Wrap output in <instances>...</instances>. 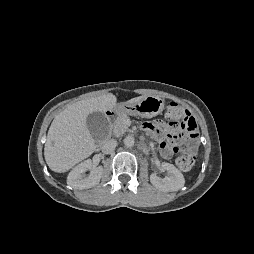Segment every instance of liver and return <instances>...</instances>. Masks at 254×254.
Returning <instances> with one entry per match:
<instances>
[{
	"instance_id": "obj_1",
	"label": "liver",
	"mask_w": 254,
	"mask_h": 254,
	"mask_svg": "<svg viewBox=\"0 0 254 254\" xmlns=\"http://www.w3.org/2000/svg\"><path fill=\"white\" fill-rule=\"evenodd\" d=\"M145 97H135L127 102L136 103ZM116 105L115 95L105 94L78 101L61 111L52 121L45 143L44 157L49 168L63 173L89 157L96 144L87 128V116L96 111L105 113Z\"/></svg>"
}]
</instances>
